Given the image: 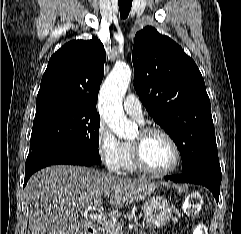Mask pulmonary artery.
I'll list each match as a JSON object with an SVG mask.
<instances>
[{
    "instance_id": "1",
    "label": "pulmonary artery",
    "mask_w": 241,
    "mask_h": 234,
    "mask_svg": "<svg viewBox=\"0 0 241 234\" xmlns=\"http://www.w3.org/2000/svg\"><path fill=\"white\" fill-rule=\"evenodd\" d=\"M124 110L139 123H143L142 106L134 94H128L123 102Z\"/></svg>"
}]
</instances>
